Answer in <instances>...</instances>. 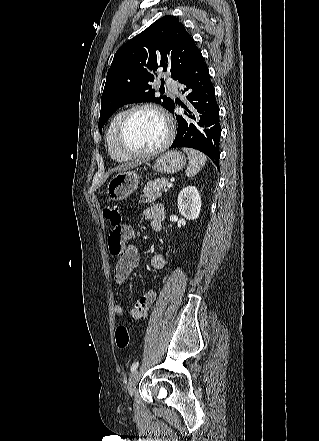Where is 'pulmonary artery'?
Instances as JSON below:
<instances>
[{
    "instance_id": "1",
    "label": "pulmonary artery",
    "mask_w": 319,
    "mask_h": 441,
    "mask_svg": "<svg viewBox=\"0 0 319 441\" xmlns=\"http://www.w3.org/2000/svg\"><path fill=\"white\" fill-rule=\"evenodd\" d=\"M165 83L167 85V87L173 92V93H178V88H177V84L174 80L170 79V78H166L165 79Z\"/></svg>"
}]
</instances>
